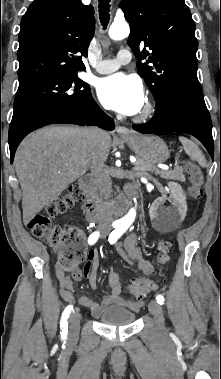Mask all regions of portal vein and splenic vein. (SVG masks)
Segmentation results:
<instances>
[{
	"label": "portal vein and splenic vein",
	"mask_w": 221,
	"mask_h": 379,
	"mask_svg": "<svg viewBox=\"0 0 221 379\" xmlns=\"http://www.w3.org/2000/svg\"><path fill=\"white\" fill-rule=\"evenodd\" d=\"M132 163H135L136 162V160H130ZM137 169V167H134V170H136ZM159 169H161V170H163V171H168L169 170V167L168 166H159ZM159 169H157V171H161V170H159Z\"/></svg>",
	"instance_id": "portal-vein-and-splenic-vein-1"
}]
</instances>
